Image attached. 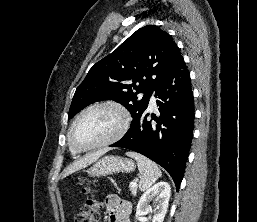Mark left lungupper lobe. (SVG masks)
Returning <instances> with one entry per match:
<instances>
[{
    "mask_svg": "<svg viewBox=\"0 0 257 222\" xmlns=\"http://www.w3.org/2000/svg\"><path fill=\"white\" fill-rule=\"evenodd\" d=\"M182 59L167 32L155 25L138 29L89 70L76 89L68 118L94 102L114 100L128 109L134 122L152 92Z\"/></svg>",
    "mask_w": 257,
    "mask_h": 222,
    "instance_id": "1",
    "label": "left lung upper lobe"
}]
</instances>
